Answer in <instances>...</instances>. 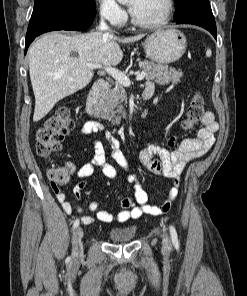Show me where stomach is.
Wrapping results in <instances>:
<instances>
[{"label":"stomach","mask_w":247,"mask_h":296,"mask_svg":"<svg viewBox=\"0 0 247 296\" xmlns=\"http://www.w3.org/2000/svg\"><path fill=\"white\" fill-rule=\"evenodd\" d=\"M146 57L159 64L178 61L185 53L187 41L185 35L169 28L149 35L143 43Z\"/></svg>","instance_id":"stomach-1"}]
</instances>
